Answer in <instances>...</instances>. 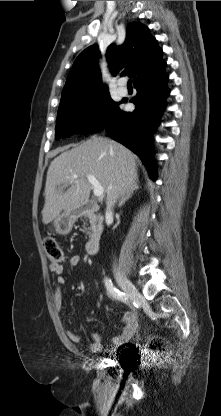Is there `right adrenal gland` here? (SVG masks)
Listing matches in <instances>:
<instances>
[{
	"label": "right adrenal gland",
	"mask_w": 221,
	"mask_h": 416,
	"mask_svg": "<svg viewBox=\"0 0 221 416\" xmlns=\"http://www.w3.org/2000/svg\"><path fill=\"white\" fill-rule=\"evenodd\" d=\"M136 189H138V187L136 186V185H134L133 186V188H132V190H130L127 194H126V196L120 201V203H119V206H121L123 203H125V201L126 200H128L131 196H132V194H133V192L136 190Z\"/></svg>",
	"instance_id": "1"
}]
</instances>
